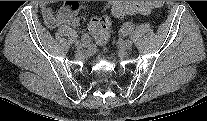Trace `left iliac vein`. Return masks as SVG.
<instances>
[{
  "mask_svg": "<svg viewBox=\"0 0 207 121\" xmlns=\"http://www.w3.org/2000/svg\"><path fill=\"white\" fill-rule=\"evenodd\" d=\"M121 46L123 49L129 50L132 48L133 42L131 40H126L122 42Z\"/></svg>",
  "mask_w": 207,
  "mask_h": 121,
  "instance_id": "obj_1",
  "label": "left iliac vein"
}]
</instances>
